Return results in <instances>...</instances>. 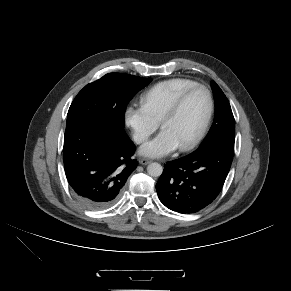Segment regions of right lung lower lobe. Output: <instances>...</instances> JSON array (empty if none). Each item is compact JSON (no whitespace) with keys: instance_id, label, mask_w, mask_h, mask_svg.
Wrapping results in <instances>:
<instances>
[{"instance_id":"obj_1","label":"right lung lower lobe","mask_w":291,"mask_h":291,"mask_svg":"<svg viewBox=\"0 0 291 291\" xmlns=\"http://www.w3.org/2000/svg\"><path fill=\"white\" fill-rule=\"evenodd\" d=\"M134 151L123 128L106 124L67 127L64 169L75 196L91 209L112 205L137 167Z\"/></svg>"}]
</instances>
